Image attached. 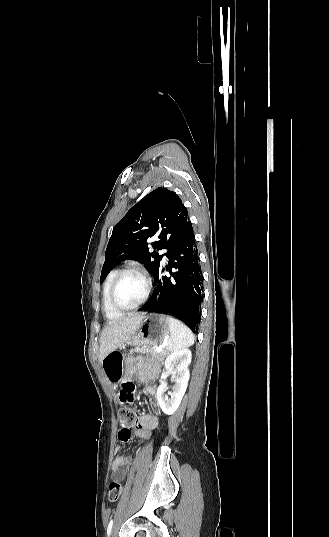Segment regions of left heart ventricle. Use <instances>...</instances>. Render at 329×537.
Masks as SVG:
<instances>
[{"mask_svg":"<svg viewBox=\"0 0 329 537\" xmlns=\"http://www.w3.org/2000/svg\"><path fill=\"white\" fill-rule=\"evenodd\" d=\"M145 292V281L137 273H128L121 279L117 291L116 301L123 307L136 304Z\"/></svg>","mask_w":329,"mask_h":537,"instance_id":"1","label":"left heart ventricle"}]
</instances>
